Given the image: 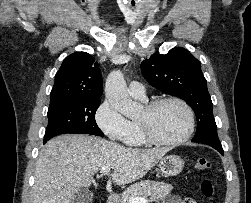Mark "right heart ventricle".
Returning a JSON list of instances; mask_svg holds the SVG:
<instances>
[{"instance_id":"1","label":"right heart ventricle","mask_w":251,"mask_h":203,"mask_svg":"<svg viewBox=\"0 0 251 203\" xmlns=\"http://www.w3.org/2000/svg\"><path fill=\"white\" fill-rule=\"evenodd\" d=\"M123 142L132 147H139L147 144L141 133L138 121H129V129Z\"/></svg>"}]
</instances>
